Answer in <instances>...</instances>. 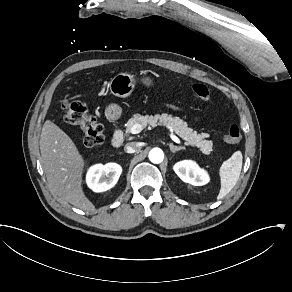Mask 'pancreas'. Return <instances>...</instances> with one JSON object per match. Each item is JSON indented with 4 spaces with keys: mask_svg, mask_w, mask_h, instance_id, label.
I'll return each instance as SVG.
<instances>
[{
    "mask_svg": "<svg viewBox=\"0 0 292 292\" xmlns=\"http://www.w3.org/2000/svg\"><path fill=\"white\" fill-rule=\"evenodd\" d=\"M160 124H168L172 126L175 134L183 138L187 146H194L197 148L198 152H202L203 154L207 155L209 159H213L211 156L213 143L211 140L203 139L207 135L198 134L197 131L193 132L192 128H188V125L184 120L172 115L156 114L153 116L148 114H136L127 122L126 131H130L134 125H139L142 129H145L149 127H156Z\"/></svg>",
    "mask_w": 292,
    "mask_h": 292,
    "instance_id": "obj_1",
    "label": "pancreas"
}]
</instances>
